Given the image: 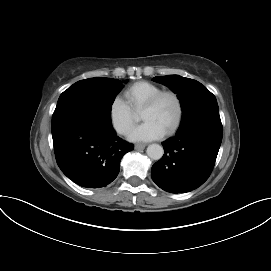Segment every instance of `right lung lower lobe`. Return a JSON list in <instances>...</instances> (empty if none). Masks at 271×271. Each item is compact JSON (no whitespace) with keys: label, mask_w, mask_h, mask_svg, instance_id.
<instances>
[{"label":"right lung lower lobe","mask_w":271,"mask_h":271,"mask_svg":"<svg viewBox=\"0 0 271 271\" xmlns=\"http://www.w3.org/2000/svg\"><path fill=\"white\" fill-rule=\"evenodd\" d=\"M54 152L62 172L76 184L99 188L111 183L120 160L134 146L119 138L102 117L62 124L52 130Z\"/></svg>","instance_id":"right-lung-lower-lobe-1"}]
</instances>
